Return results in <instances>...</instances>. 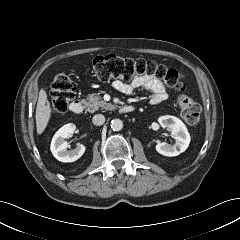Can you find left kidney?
Masks as SVG:
<instances>
[{
    "instance_id": "obj_1",
    "label": "left kidney",
    "mask_w": 240,
    "mask_h": 240,
    "mask_svg": "<svg viewBox=\"0 0 240 240\" xmlns=\"http://www.w3.org/2000/svg\"><path fill=\"white\" fill-rule=\"evenodd\" d=\"M158 122L163 128H168L171 131L175 143H158L155 147L156 151L168 157L177 156L184 152L188 148L191 140L185 124L179 118L171 115L159 117Z\"/></svg>"
}]
</instances>
